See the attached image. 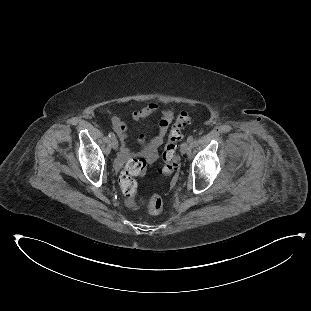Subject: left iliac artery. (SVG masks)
<instances>
[{
  "mask_svg": "<svg viewBox=\"0 0 311 311\" xmlns=\"http://www.w3.org/2000/svg\"><path fill=\"white\" fill-rule=\"evenodd\" d=\"M193 139H194L193 136H188L187 142L191 143L193 141Z\"/></svg>",
  "mask_w": 311,
  "mask_h": 311,
  "instance_id": "obj_1",
  "label": "left iliac artery"
}]
</instances>
